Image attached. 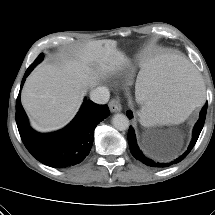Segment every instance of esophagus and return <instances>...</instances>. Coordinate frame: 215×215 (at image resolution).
I'll return each mask as SVG.
<instances>
[{"mask_svg": "<svg viewBox=\"0 0 215 215\" xmlns=\"http://www.w3.org/2000/svg\"><path fill=\"white\" fill-rule=\"evenodd\" d=\"M109 108L111 112H120L122 110V106L119 98H113L109 102Z\"/></svg>", "mask_w": 215, "mask_h": 215, "instance_id": "obj_1", "label": "esophagus"}]
</instances>
